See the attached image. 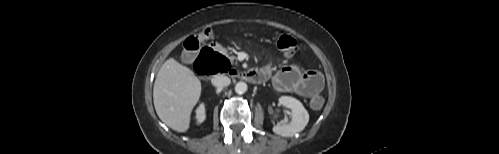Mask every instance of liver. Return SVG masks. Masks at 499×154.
Wrapping results in <instances>:
<instances>
[{
  "mask_svg": "<svg viewBox=\"0 0 499 154\" xmlns=\"http://www.w3.org/2000/svg\"><path fill=\"white\" fill-rule=\"evenodd\" d=\"M200 95L201 82L193 71L173 58L164 62L153 88L154 107L162 122L177 132H186Z\"/></svg>",
  "mask_w": 499,
  "mask_h": 154,
  "instance_id": "liver-1",
  "label": "liver"
}]
</instances>
